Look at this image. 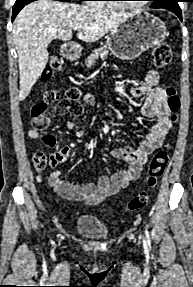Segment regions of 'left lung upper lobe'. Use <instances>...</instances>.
<instances>
[{
  "instance_id": "left-lung-upper-lobe-1",
  "label": "left lung upper lobe",
  "mask_w": 193,
  "mask_h": 287,
  "mask_svg": "<svg viewBox=\"0 0 193 287\" xmlns=\"http://www.w3.org/2000/svg\"><path fill=\"white\" fill-rule=\"evenodd\" d=\"M153 1L151 8H161L170 5H178L180 0H150Z\"/></svg>"
}]
</instances>
